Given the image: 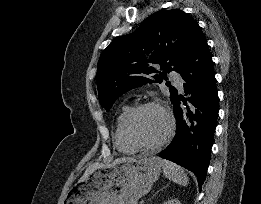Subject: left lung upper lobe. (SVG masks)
<instances>
[{
    "instance_id": "5c2ea615",
    "label": "left lung upper lobe",
    "mask_w": 261,
    "mask_h": 204,
    "mask_svg": "<svg viewBox=\"0 0 261 204\" xmlns=\"http://www.w3.org/2000/svg\"><path fill=\"white\" fill-rule=\"evenodd\" d=\"M198 23L182 10L157 12L131 34L114 40L101 54L97 69L100 105L110 110L117 98L132 88L162 82L170 71L180 72L196 33ZM160 65L163 73L155 66ZM170 87L171 102L177 95Z\"/></svg>"
}]
</instances>
